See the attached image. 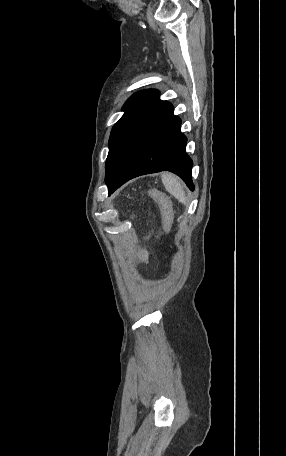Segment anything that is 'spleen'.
Masks as SVG:
<instances>
[{
  "mask_svg": "<svg viewBox=\"0 0 286 456\" xmlns=\"http://www.w3.org/2000/svg\"><path fill=\"white\" fill-rule=\"evenodd\" d=\"M162 182L165 189L174 196L183 205L187 204V197L184 191V186L179 178L171 173L162 174Z\"/></svg>",
  "mask_w": 286,
  "mask_h": 456,
  "instance_id": "obj_1",
  "label": "spleen"
}]
</instances>
